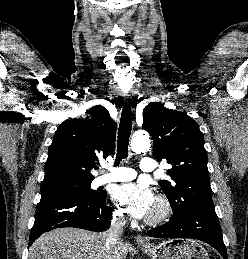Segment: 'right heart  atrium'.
I'll use <instances>...</instances> for the list:
<instances>
[{"label": "right heart atrium", "mask_w": 248, "mask_h": 259, "mask_svg": "<svg viewBox=\"0 0 248 259\" xmlns=\"http://www.w3.org/2000/svg\"><path fill=\"white\" fill-rule=\"evenodd\" d=\"M114 217H115L116 219H118V220H122V219H123V211H122V209L116 208V209L114 210Z\"/></svg>", "instance_id": "1"}]
</instances>
